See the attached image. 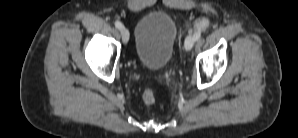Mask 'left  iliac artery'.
Returning <instances> with one entry per match:
<instances>
[{"label": "left iliac artery", "instance_id": "left-iliac-artery-1", "mask_svg": "<svg viewBox=\"0 0 298 138\" xmlns=\"http://www.w3.org/2000/svg\"><path fill=\"white\" fill-rule=\"evenodd\" d=\"M193 36H194L195 40H198L201 37V32L197 31V32L194 33Z\"/></svg>", "mask_w": 298, "mask_h": 138}]
</instances>
